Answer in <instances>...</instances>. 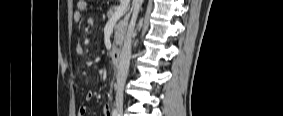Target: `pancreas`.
Masks as SVG:
<instances>
[{"mask_svg": "<svg viewBox=\"0 0 283 116\" xmlns=\"http://www.w3.org/2000/svg\"><path fill=\"white\" fill-rule=\"evenodd\" d=\"M117 7H111L109 11L107 12V17L110 19L114 12L116 11ZM127 23L128 18L124 17L123 19L119 20L118 23L115 26V35H114V41L112 48L115 50L117 46H120L122 44L123 37L125 35L126 29H127Z\"/></svg>", "mask_w": 283, "mask_h": 116, "instance_id": "cf45deb5", "label": "pancreas"}]
</instances>
